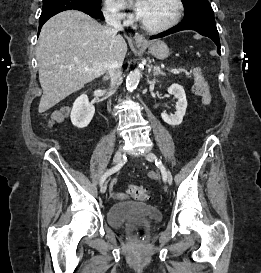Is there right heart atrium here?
<instances>
[{
  "label": "right heart atrium",
  "instance_id": "d8ad5b80",
  "mask_svg": "<svg viewBox=\"0 0 261 273\" xmlns=\"http://www.w3.org/2000/svg\"><path fill=\"white\" fill-rule=\"evenodd\" d=\"M104 14L112 21L126 23L130 16L124 11V6L118 0H105Z\"/></svg>",
  "mask_w": 261,
  "mask_h": 273
}]
</instances>
